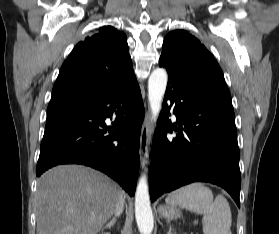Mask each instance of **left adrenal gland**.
I'll return each instance as SVG.
<instances>
[{"instance_id":"1","label":"left adrenal gland","mask_w":279,"mask_h":234,"mask_svg":"<svg viewBox=\"0 0 279 234\" xmlns=\"http://www.w3.org/2000/svg\"><path fill=\"white\" fill-rule=\"evenodd\" d=\"M167 234H173V233H172V227H171V226L168 228Z\"/></svg>"}]
</instances>
